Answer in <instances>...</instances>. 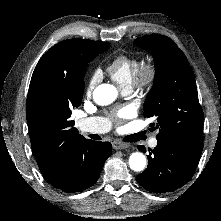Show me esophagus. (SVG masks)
I'll use <instances>...</instances> for the list:
<instances>
[{
	"mask_svg": "<svg viewBox=\"0 0 221 221\" xmlns=\"http://www.w3.org/2000/svg\"><path fill=\"white\" fill-rule=\"evenodd\" d=\"M130 145L128 143H122V142H114L113 143V148L115 150H123L128 148Z\"/></svg>",
	"mask_w": 221,
	"mask_h": 221,
	"instance_id": "esophagus-1",
	"label": "esophagus"
}]
</instances>
